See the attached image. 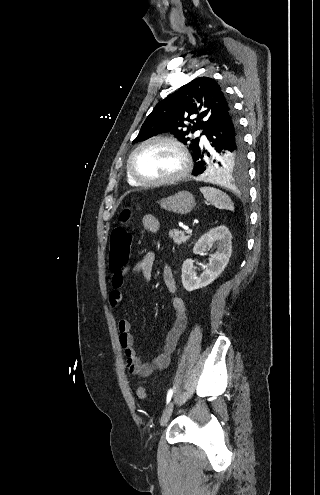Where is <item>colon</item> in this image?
Returning <instances> with one entry per match:
<instances>
[{
	"mask_svg": "<svg viewBox=\"0 0 320 495\" xmlns=\"http://www.w3.org/2000/svg\"><path fill=\"white\" fill-rule=\"evenodd\" d=\"M129 209H124L121 213L120 220L126 223L129 219ZM133 237L130 231L124 225L113 228L109 238V260L110 268L114 272L121 271L126 267L130 260ZM136 395L139 399H145L147 391L143 386L136 389Z\"/></svg>",
	"mask_w": 320,
	"mask_h": 495,
	"instance_id": "obj_1",
	"label": "colon"
}]
</instances>
